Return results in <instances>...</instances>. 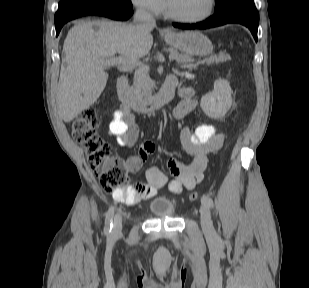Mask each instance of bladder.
Wrapping results in <instances>:
<instances>
[{
	"mask_svg": "<svg viewBox=\"0 0 309 288\" xmlns=\"http://www.w3.org/2000/svg\"><path fill=\"white\" fill-rule=\"evenodd\" d=\"M152 218H171L175 214V201L165 195H154L147 205Z\"/></svg>",
	"mask_w": 309,
	"mask_h": 288,
	"instance_id": "obj_1",
	"label": "bladder"
}]
</instances>
